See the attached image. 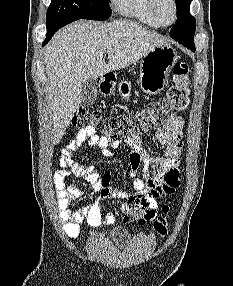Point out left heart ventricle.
<instances>
[{"instance_id":"b2bd125f","label":"left heart ventricle","mask_w":233,"mask_h":286,"mask_svg":"<svg viewBox=\"0 0 233 286\" xmlns=\"http://www.w3.org/2000/svg\"><path fill=\"white\" fill-rule=\"evenodd\" d=\"M157 11L158 16L162 22H171L173 18V7L169 0H159Z\"/></svg>"}]
</instances>
